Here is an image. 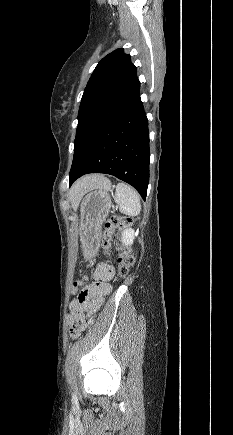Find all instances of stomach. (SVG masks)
Masks as SVG:
<instances>
[{
	"mask_svg": "<svg viewBox=\"0 0 233 435\" xmlns=\"http://www.w3.org/2000/svg\"><path fill=\"white\" fill-rule=\"evenodd\" d=\"M110 188L111 183L108 180L105 185L88 192L81 201L79 235L86 260L92 259L98 251L101 226L112 204L109 195Z\"/></svg>",
	"mask_w": 233,
	"mask_h": 435,
	"instance_id": "stomach-1",
	"label": "stomach"
}]
</instances>
